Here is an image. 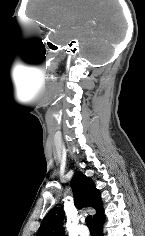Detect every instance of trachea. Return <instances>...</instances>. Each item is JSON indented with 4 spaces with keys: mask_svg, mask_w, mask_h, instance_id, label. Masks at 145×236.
Returning a JSON list of instances; mask_svg holds the SVG:
<instances>
[{
    "mask_svg": "<svg viewBox=\"0 0 145 236\" xmlns=\"http://www.w3.org/2000/svg\"><path fill=\"white\" fill-rule=\"evenodd\" d=\"M86 224L88 226L89 229H95V224L93 222L92 216H87L86 218Z\"/></svg>",
    "mask_w": 145,
    "mask_h": 236,
    "instance_id": "obj_1",
    "label": "trachea"
}]
</instances>
